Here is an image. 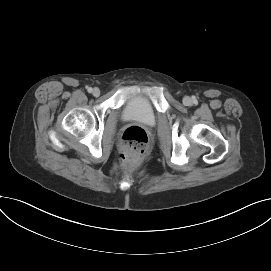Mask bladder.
I'll return each mask as SVG.
<instances>
[{
  "label": "bladder",
  "mask_w": 271,
  "mask_h": 271,
  "mask_svg": "<svg viewBox=\"0 0 271 271\" xmlns=\"http://www.w3.org/2000/svg\"><path fill=\"white\" fill-rule=\"evenodd\" d=\"M122 117L128 121H137L146 125L156 122V112L151 102L143 95L131 97L123 107Z\"/></svg>",
  "instance_id": "bladder-1"
}]
</instances>
